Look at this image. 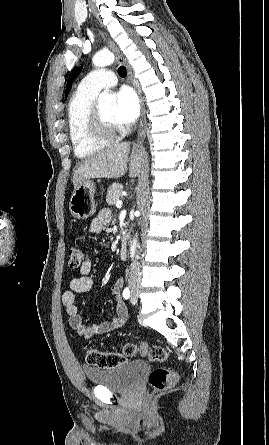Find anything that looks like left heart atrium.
I'll return each mask as SVG.
<instances>
[{"label": "left heart atrium", "instance_id": "1", "mask_svg": "<svg viewBox=\"0 0 269 445\" xmlns=\"http://www.w3.org/2000/svg\"><path fill=\"white\" fill-rule=\"evenodd\" d=\"M139 115V100L129 87L120 88L115 94L114 121L120 125L133 123Z\"/></svg>", "mask_w": 269, "mask_h": 445}]
</instances>
